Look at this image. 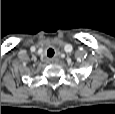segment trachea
Listing matches in <instances>:
<instances>
[{
    "label": "trachea",
    "instance_id": "1",
    "mask_svg": "<svg viewBox=\"0 0 115 114\" xmlns=\"http://www.w3.org/2000/svg\"><path fill=\"white\" fill-rule=\"evenodd\" d=\"M54 53H55L54 50L50 48V49H48V51H47V56H48V57H53V56H54Z\"/></svg>",
    "mask_w": 115,
    "mask_h": 114
}]
</instances>
